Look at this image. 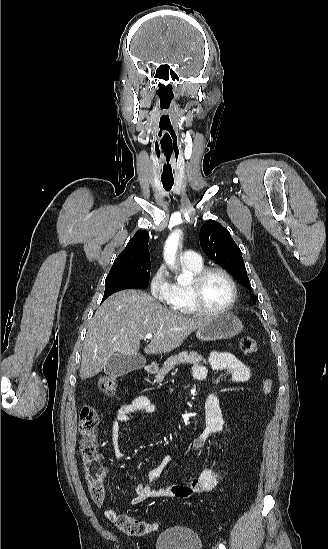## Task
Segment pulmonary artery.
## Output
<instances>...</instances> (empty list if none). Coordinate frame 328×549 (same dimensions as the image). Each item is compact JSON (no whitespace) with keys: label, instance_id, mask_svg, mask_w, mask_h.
<instances>
[{"label":"pulmonary artery","instance_id":"obj_1","mask_svg":"<svg viewBox=\"0 0 328 549\" xmlns=\"http://www.w3.org/2000/svg\"><path fill=\"white\" fill-rule=\"evenodd\" d=\"M181 258L186 261L197 260L198 254L192 250H184L181 253Z\"/></svg>","mask_w":328,"mask_h":549}]
</instances>
